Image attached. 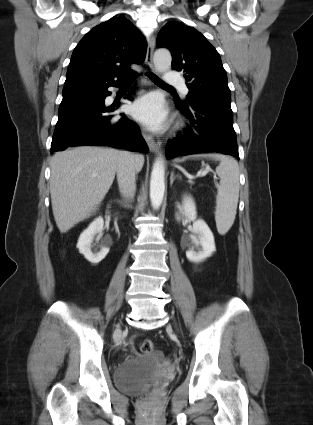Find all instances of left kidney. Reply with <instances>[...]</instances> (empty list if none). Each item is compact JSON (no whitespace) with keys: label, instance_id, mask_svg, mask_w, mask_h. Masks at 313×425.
Instances as JSON below:
<instances>
[{"label":"left kidney","instance_id":"left-kidney-1","mask_svg":"<svg viewBox=\"0 0 313 425\" xmlns=\"http://www.w3.org/2000/svg\"><path fill=\"white\" fill-rule=\"evenodd\" d=\"M181 210L185 218L193 222V232L197 237L195 241L197 251L194 248H189L186 251V256L192 262H201L210 257L216 250L213 233L203 220H197L196 206L190 196L183 197ZM176 218L180 220V215L176 214Z\"/></svg>","mask_w":313,"mask_h":425}]
</instances>
